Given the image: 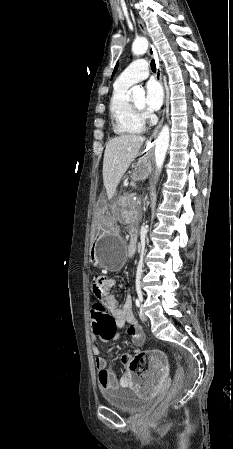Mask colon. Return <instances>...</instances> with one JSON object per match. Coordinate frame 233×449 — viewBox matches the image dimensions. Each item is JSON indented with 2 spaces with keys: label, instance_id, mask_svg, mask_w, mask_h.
Returning a JSON list of instances; mask_svg holds the SVG:
<instances>
[{
  "label": "colon",
  "instance_id": "1",
  "mask_svg": "<svg viewBox=\"0 0 233 449\" xmlns=\"http://www.w3.org/2000/svg\"><path fill=\"white\" fill-rule=\"evenodd\" d=\"M88 321L93 334H97L103 343H111L117 338L118 331L115 329L114 319L107 313V306L102 301H94L89 308ZM122 362L125 364L128 375H138L144 368L148 367L149 356L147 352L137 353L134 356H126ZM184 383V373L177 371L174 382L168 392V399L174 398L181 390Z\"/></svg>",
  "mask_w": 233,
  "mask_h": 449
}]
</instances>
